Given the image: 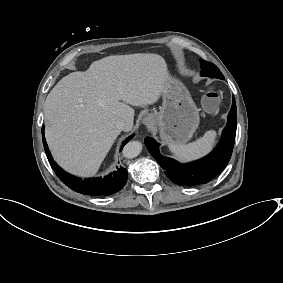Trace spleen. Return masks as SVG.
I'll use <instances>...</instances> for the list:
<instances>
[{"instance_id": "spleen-1", "label": "spleen", "mask_w": 283, "mask_h": 283, "mask_svg": "<svg viewBox=\"0 0 283 283\" xmlns=\"http://www.w3.org/2000/svg\"><path fill=\"white\" fill-rule=\"evenodd\" d=\"M214 136L215 132L213 130H208L203 136L198 137L192 142H175L172 143L170 147L172 151L176 153L177 157L183 159L194 158L204 154L210 149Z\"/></svg>"}]
</instances>
